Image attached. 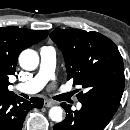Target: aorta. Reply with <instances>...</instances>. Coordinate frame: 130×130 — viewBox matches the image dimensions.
I'll use <instances>...</instances> for the list:
<instances>
[{"mask_svg": "<svg viewBox=\"0 0 130 130\" xmlns=\"http://www.w3.org/2000/svg\"><path fill=\"white\" fill-rule=\"evenodd\" d=\"M19 64L25 70L32 71L36 69L39 64L37 52L32 49L22 51L19 56ZM49 116L54 122H61L63 120V109L59 106H54L49 110Z\"/></svg>", "mask_w": 130, "mask_h": 130, "instance_id": "obj_1", "label": "aorta"}]
</instances>
